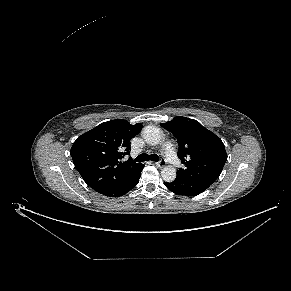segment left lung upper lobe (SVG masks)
<instances>
[{
	"mask_svg": "<svg viewBox=\"0 0 291 291\" xmlns=\"http://www.w3.org/2000/svg\"><path fill=\"white\" fill-rule=\"evenodd\" d=\"M179 144L178 157L185 165L177 175L189 180H216L227 160L222 140L198 121L182 116L162 123Z\"/></svg>",
	"mask_w": 291,
	"mask_h": 291,
	"instance_id": "1",
	"label": "left lung upper lobe"
}]
</instances>
